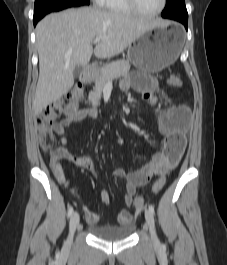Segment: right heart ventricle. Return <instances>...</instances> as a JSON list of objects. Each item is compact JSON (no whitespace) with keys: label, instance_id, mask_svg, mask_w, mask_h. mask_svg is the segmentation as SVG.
<instances>
[{"label":"right heart ventricle","instance_id":"obj_1","mask_svg":"<svg viewBox=\"0 0 227 265\" xmlns=\"http://www.w3.org/2000/svg\"><path fill=\"white\" fill-rule=\"evenodd\" d=\"M98 3L110 12L127 15L136 14L129 6L127 0H98Z\"/></svg>","mask_w":227,"mask_h":265}]
</instances>
